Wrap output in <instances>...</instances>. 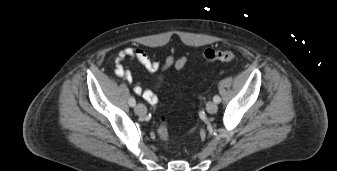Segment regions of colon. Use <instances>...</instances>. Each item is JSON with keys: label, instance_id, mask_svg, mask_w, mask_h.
<instances>
[{"label": "colon", "instance_id": "1", "mask_svg": "<svg viewBox=\"0 0 337 171\" xmlns=\"http://www.w3.org/2000/svg\"><path fill=\"white\" fill-rule=\"evenodd\" d=\"M235 59L233 51L228 49H208L203 54V60L205 62H230ZM158 135L164 144H167L169 140L168 125L164 118H161V124L158 128Z\"/></svg>", "mask_w": 337, "mask_h": 171}]
</instances>
